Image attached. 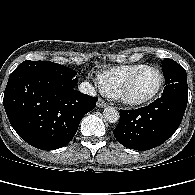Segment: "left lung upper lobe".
I'll list each match as a JSON object with an SVG mask.
<instances>
[{
  "label": "left lung upper lobe",
  "mask_w": 195,
  "mask_h": 195,
  "mask_svg": "<svg viewBox=\"0 0 195 195\" xmlns=\"http://www.w3.org/2000/svg\"><path fill=\"white\" fill-rule=\"evenodd\" d=\"M162 69L165 85L176 82H187L186 70L174 60L165 58Z\"/></svg>",
  "instance_id": "obj_1"
}]
</instances>
